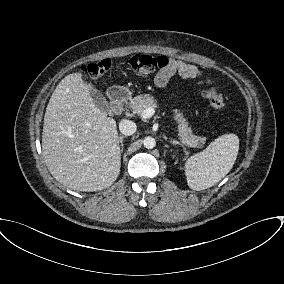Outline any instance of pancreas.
Instances as JSON below:
<instances>
[{
	"label": "pancreas",
	"instance_id": "obj_1",
	"mask_svg": "<svg viewBox=\"0 0 284 284\" xmlns=\"http://www.w3.org/2000/svg\"><path fill=\"white\" fill-rule=\"evenodd\" d=\"M129 106L131 110L140 115L142 112L149 107L156 108L157 107V101L155 98L149 94H141L138 95L132 99H130ZM175 120L178 123V132H179V138L181 142L189 147H196V148H202L205 144L206 138L196 136L192 133V129L188 127V122L184 118L182 113H178L175 115Z\"/></svg>",
	"mask_w": 284,
	"mask_h": 284
}]
</instances>
